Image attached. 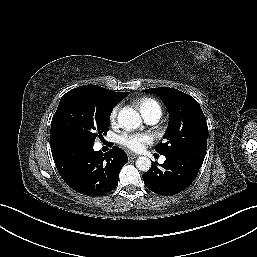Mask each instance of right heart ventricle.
<instances>
[{"label":"right heart ventricle","instance_id":"right-heart-ventricle-1","mask_svg":"<svg viewBox=\"0 0 257 257\" xmlns=\"http://www.w3.org/2000/svg\"><path fill=\"white\" fill-rule=\"evenodd\" d=\"M136 106L145 119L153 115L160 117L162 114L161 104L154 97H142L136 101Z\"/></svg>","mask_w":257,"mask_h":257}]
</instances>
